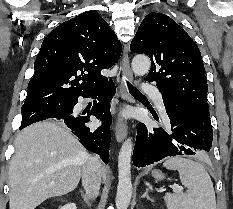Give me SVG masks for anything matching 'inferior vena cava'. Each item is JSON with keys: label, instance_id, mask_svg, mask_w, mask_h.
I'll return each instance as SVG.
<instances>
[{"label": "inferior vena cava", "instance_id": "602c4592", "mask_svg": "<svg viewBox=\"0 0 233 209\" xmlns=\"http://www.w3.org/2000/svg\"><path fill=\"white\" fill-rule=\"evenodd\" d=\"M101 160L97 155L89 156L82 173V185L87 197L95 198L101 185Z\"/></svg>", "mask_w": 233, "mask_h": 209}]
</instances>
